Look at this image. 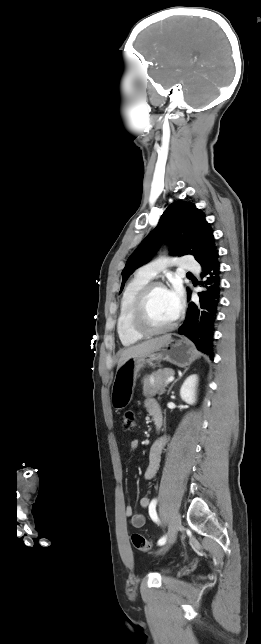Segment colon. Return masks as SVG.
<instances>
[{
  "label": "colon",
  "mask_w": 261,
  "mask_h": 644,
  "mask_svg": "<svg viewBox=\"0 0 261 644\" xmlns=\"http://www.w3.org/2000/svg\"><path fill=\"white\" fill-rule=\"evenodd\" d=\"M137 426L136 414L132 410H128L123 415V430L126 432H133ZM134 547L140 551H148L151 548V542L148 538L141 534H133L131 536Z\"/></svg>",
  "instance_id": "obj_1"
}]
</instances>
